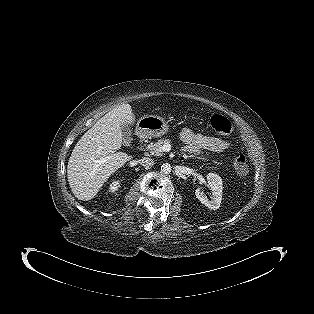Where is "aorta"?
I'll return each instance as SVG.
<instances>
[{"mask_svg": "<svg viewBox=\"0 0 314 314\" xmlns=\"http://www.w3.org/2000/svg\"><path fill=\"white\" fill-rule=\"evenodd\" d=\"M161 172L164 174H169L171 172V165L169 163L162 164Z\"/></svg>", "mask_w": 314, "mask_h": 314, "instance_id": "aorta-1", "label": "aorta"}]
</instances>
